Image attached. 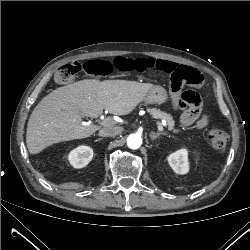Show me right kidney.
<instances>
[{
  "instance_id": "ca27d5eb",
  "label": "right kidney",
  "mask_w": 250,
  "mask_h": 250,
  "mask_svg": "<svg viewBox=\"0 0 250 250\" xmlns=\"http://www.w3.org/2000/svg\"><path fill=\"white\" fill-rule=\"evenodd\" d=\"M92 158L93 149L84 145L72 150L68 155L69 162L74 168H83Z\"/></svg>"
}]
</instances>
